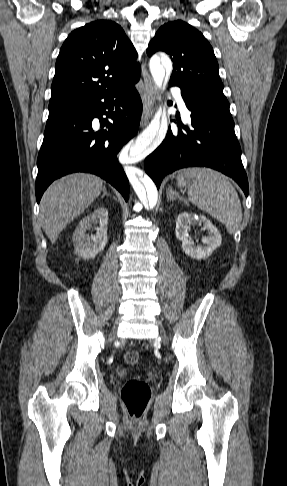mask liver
<instances>
[{
  "mask_svg": "<svg viewBox=\"0 0 287 486\" xmlns=\"http://www.w3.org/2000/svg\"><path fill=\"white\" fill-rule=\"evenodd\" d=\"M103 181L91 174L75 173L54 181L40 202L42 228L54 244L61 231L100 195Z\"/></svg>",
  "mask_w": 287,
  "mask_h": 486,
  "instance_id": "liver-1",
  "label": "liver"
}]
</instances>
